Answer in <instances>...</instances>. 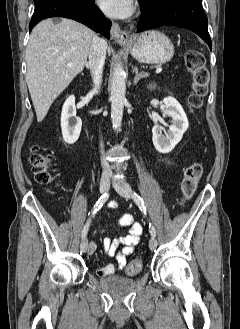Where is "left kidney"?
<instances>
[{
    "label": "left kidney",
    "instance_id": "1",
    "mask_svg": "<svg viewBox=\"0 0 240 329\" xmlns=\"http://www.w3.org/2000/svg\"><path fill=\"white\" fill-rule=\"evenodd\" d=\"M152 88H155V85H149V89ZM163 103V117H171V125L166 135L161 132L163 128L155 125L152 129V140L156 150L166 154L171 152L181 141L183 134L188 129L189 123L182 106L175 98L165 97Z\"/></svg>",
    "mask_w": 240,
    "mask_h": 329
}]
</instances>
